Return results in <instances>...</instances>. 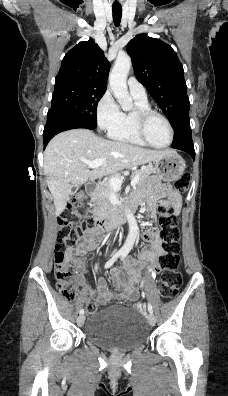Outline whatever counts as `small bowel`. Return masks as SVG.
Segmentation results:
<instances>
[{"label":"small bowel","instance_id":"obj_1","mask_svg":"<svg viewBox=\"0 0 228 396\" xmlns=\"http://www.w3.org/2000/svg\"><path fill=\"white\" fill-rule=\"evenodd\" d=\"M150 200H149V211L152 213L155 210V201L169 197L173 203L174 212L176 215L180 213L181 209V198L178 194L171 191L168 184H151L149 187ZM131 202L138 205L140 202V195L132 197ZM144 238L147 241H151L152 246L148 250H144L138 254L139 258L150 265V268L155 270L158 268L157 260L162 254L161 240L158 234L152 230H147L144 234ZM99 242V233L94 228H88L85 230L83 237L80 239L78 244L72 247H68L65 251V256L69 262H72L77 270L80 272L78 280L84 285L89 291L91 298L97 300L102 304H106L113 300H130L136 302L139 298V290L137 285L141 282L145 283L144 280L140 279V274L136 269L135 265H128V272L122 274L117 269L110 271V276L113 280L115 290H110L104 278H98L96 280V288L92 289L86 282L85 274L87 273L84 265L83 256L90 251L96 249ZM135 307L143 311V306L140 303H136Z\"/></svg>","mask_w":228,"mask_h":396}]
</instances>
